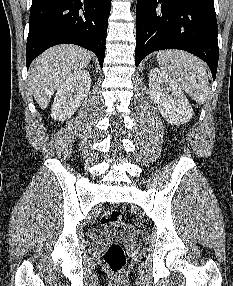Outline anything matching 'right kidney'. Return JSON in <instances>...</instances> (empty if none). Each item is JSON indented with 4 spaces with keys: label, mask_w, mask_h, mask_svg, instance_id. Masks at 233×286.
<instances>
[{
    "label": "right kidney",
    "mask_w": 233,
    "mask_h": 286,
    "mask_svg": "<svg viewBox=\"0 0 233 286\" xmlns=\"http://www.w3.org/2000/svg\"><path fill=\"white\" fill-rule=\"evenodd\" d=\"M90 84L91 78L87 70H79L70 75L57 90L51 117L58 121L71 118L87 96Z\"/></svg>",
    "instance_id": "obj_1"
}]
</instances>
